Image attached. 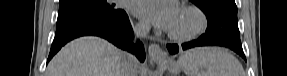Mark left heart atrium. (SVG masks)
I'll return each instance as SVG.
<instances>
[{"instance_id": "39dd6f15", "label": "left heart atrium", "mask_w": 287, "mask_h": 76, "mask_svg": "<svg viewBox=\"0 0 287 76\" xmlns=\"http://www.w3.org/2000/svg\"><path fill=\"white\" fill-rule=\"evenodd\" d=\"M132 11L155 26L170 30L178 16L179 8L173 0H135L132 3Z\"/></svg>"}]
</instances>
